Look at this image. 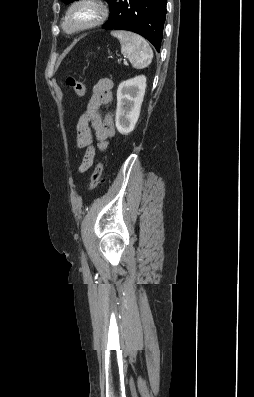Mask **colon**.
Instances as JSON below:
<instances>
[{
	"instance_id": "1",
	"label": "colon",
	"mask_w": 254,
	"mask_h": 397,
	"mask_svg": "<svg viewBox=\"0 0 254 397\" xmlns=\"http://www.w3.org/2000/svg\"><path fill=\"white\" fill-rule=\"evenodd\" d=\"M67 85L74 91L75 95L77 98L81 99L85 95V86L84 84L77 79L75 76H69L66 79ZM102 171H103V164L101 161H99L94 169V172L91 176V181H90V188L92 190L96 189L101 181H102Z\"/></svg>"
}]
</instances>
